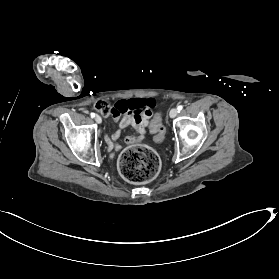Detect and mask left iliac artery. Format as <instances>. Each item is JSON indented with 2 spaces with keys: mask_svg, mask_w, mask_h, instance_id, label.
<instances>
[{
  "mask_svg": "<svg viewBox=\"0 0 279 279\" xmlns=\"http://www.w3.org/2000/svg\"><path fill=\"white\" fill-rule=\"evenodd\" d=\"M177 109H178V111H181V110L183 109V106H182V105H179V106L177 107Z\"/></svg>",
  "mask_w": 279,
  "mask_h": 279,
  "instance_id": "44dca946",
  "label": "left iliac artery"
}]
</instances>
